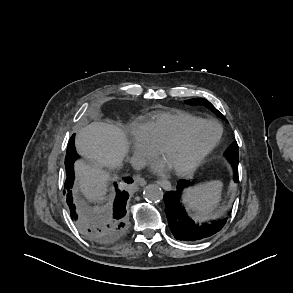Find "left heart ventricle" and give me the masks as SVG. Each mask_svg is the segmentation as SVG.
Segmentation results:
<instances>
[{
  "label": "left heart ventricle",
  "mask_w": 293,
  "mask_h": 293,
  "mask_svg": "<svg viewBox=\"0 0 293 293\" xmlns=\"http://www.w3.org/2000/svg\"><path fill=\"white\" fill-rule=\"evenodd\" d=\"M217 134L213 125H198L192 128L184 141L163 154L172 169L183 167L201 153Z\"/></svg>",
  "instance_id": "obj_1"
}]
</instances>
